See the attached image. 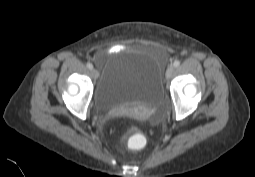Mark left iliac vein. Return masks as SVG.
I'll return each instance as SVG.
<instances>
[{
    "instance_id": "left-iliac-vein-1",
    "label": "left iliac vein",
    "mask_w": 255,
    "mask_h": 177,
    "mask_svg": "<svg viewBox=\"0 0 255 177\" xmlns=\"http://www.w3.org/2000/svg\"><path fill=\"white\" fill-rule=\"evenodd\" d=\"M174 66L173 65H170L167 70H166V73H165V76L167 79H170L174 73Z\"/></svg>"
}]
</instances>
